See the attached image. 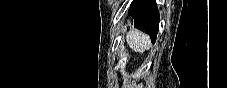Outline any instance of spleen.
<instances>
[{
    "label": "spleen",
    "mask_w": 227,
    "mask_h": 88,
    "mask_svg": "<svg viewBox=\"0 0 227 88\" xmlns=\"http://www.w3.org/2000/svg\"><path fill=\"white\" fill-rule=\"evenodd\" d=\"M126 41L133 51L139 53L144 52L151 46L149 37L138 30H130L127 32Z\"/></svg>",
    "instance_id": "obj_1"
}]
</instances>
